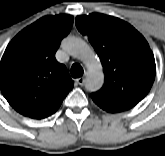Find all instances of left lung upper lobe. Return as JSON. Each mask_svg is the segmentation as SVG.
I'll return each mask as SVG.
<instances>
[{
    "mask_svg": "<svg viewBox=\"0 0 165 156\" xmlns=\"http://www.w3.org/2000/svg\"><path fill=\"white\" fill-rule=\"evenodd\" d=\"M75 24L103 65L104 85L91 95L120 111L137 105L150 91L156 73L145 38L129 23L100 13L77 16Z\"/></svg>",
    "mask_w": 165,
    "mask_h": 156,
    "instance_id": "1",
    "label": "left lung upper lobe"
}]
</instances>
